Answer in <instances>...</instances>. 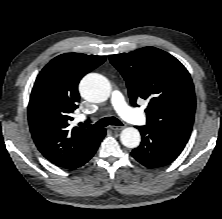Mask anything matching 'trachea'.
Instances as JSON below:
<instances>
[{
	"label": "trachea",
	"mask_w": 222,
	"mask_h": 219,
	"mask_svg": "<svg viewBox=\"0 0 222 219\" xmlns=\"http://www.w3.org/2000/svg\"><path fill=\"white\" fill-rule=\"evenodd\" d=\"M81 127H88L91 129H98V128H103L106 127L108 125H115V126H122V122L115 118V117H105L101 120H99L98 122H96L94 125H90V124H80Z\"/></svg>",
	"instance_id": "3493384b"
}]
</instances>
